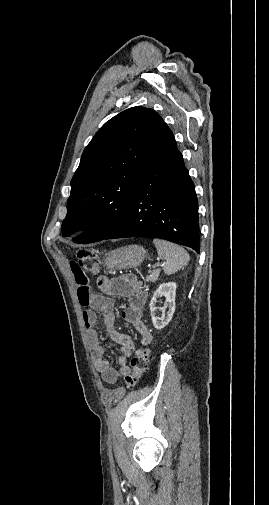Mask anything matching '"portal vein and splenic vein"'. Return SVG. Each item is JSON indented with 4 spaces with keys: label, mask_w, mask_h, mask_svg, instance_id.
Returning <instances> with one entry per match:
<instances>
[{
    "label": "portal vein and splenic vein",
    "mask_w": 269,
    "mask_h": 505,
    "mask_svg": "<svg viewBox=\"0 0 269 505\" xmlns=\"http://www.w3.org/2000/svg\"><path fill=\"white\" fill-rule=\"evenodd\" d=\"M164 264L157 263L154 267H162Z\"/></svg>",
    "instance_id": "1"
}]
</instances>
